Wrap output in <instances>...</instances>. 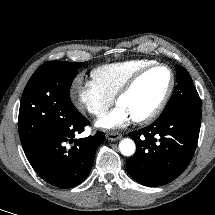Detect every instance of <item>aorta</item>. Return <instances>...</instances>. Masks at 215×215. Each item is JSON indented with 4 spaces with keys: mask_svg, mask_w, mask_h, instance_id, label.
I'll return each mask as SVG.
<instances>
[{
    "mask_svg": "<svg viewBox=\"0 0 215 215\" xmlns=\"http://www.w3.org/2000/svg\"><path fill=\"white\" fill-rule=\"evenodd\" d=\"M119 148L124 156H131L135 152V143L133 140L125 138L119 143Z\"/></svg>",
    "mask_w": 215,
    "mask_h": 215,
    "instance_id": "aorta-1",
    "label": "aorta"
}]
</instances>
